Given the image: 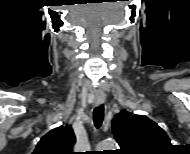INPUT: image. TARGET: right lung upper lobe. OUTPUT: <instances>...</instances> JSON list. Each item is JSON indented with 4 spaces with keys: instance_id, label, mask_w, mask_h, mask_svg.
I'll return each mask as SVG.
<instances>
[{
    "instance_id": "1",
    "label": "right lung upper lobe",
    "mask_w": 190,
    "mask_h": 154,
    "mask_svg": "<svg viewBox=\"0 0 190 154\" xmlns=\"http://www.w3.org/2000/svg\"><path fill=\"white\" fill-rule=\"evenodd\" d=\"M76 138L70 125L57 127L41 138L33 154H73Z\"/></svg>"
}]
</instances>
